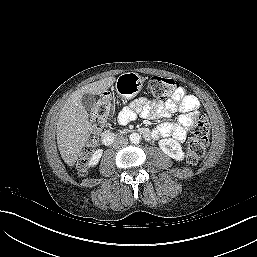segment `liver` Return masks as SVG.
Instances as JSON below:
<instances>
[{"mask_svg":"<svg viewBox=\"0 0 257 257\" xmlns=\"http://www.w3.org/2000/svg\"><path fill=\"white\" fill-rule=\"evenodd\" d=\"M115 77H107L76 90L63 106L57 122V144L61 157L68 166H73L85 146L91 129L88 113L81 99L86 93L99 95L115 82Z\"/></svg>","mask_w":257,"mask_h":257,"instance_id":"obj_1","label":"liver"}]
</instances>
